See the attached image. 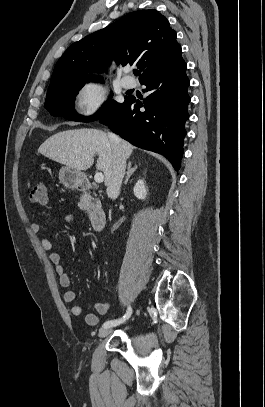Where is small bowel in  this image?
Here are the masks:
<instances>
[{
  "mask_svg": "<svg viewBox=\"0 0 265 407\" xmlns=\"http://www.w3.org/2000/svg\"><path fill=\"white\" fill-rule=\"evenodd\" d=\"M66 221L68 223H74L75 220L72 216H67ZM31 229L35 234H38L42 227L41 224L38 222H34L31 225ZM41 247L44 251L49 253V259L54 264L56 273L59 277L60 285L66 289L63 294L64 302L72 304L70 308V312L73 316H80L83 312L81 305L76 304L77 292L74 289H71V277L67 272L64 264L62 263L61 256L59 253L53 251L52 242L48 237H43L40 240ZM110 309V304L106 301H101L96 304V311L97 313H89L85 317V321L90 326H96L99 323V315L106 314Z\"/></svg>",
  "mask_w": 265,
  "mask_h": 407,
  "instance_id": "1",
  "label": "small bowel"
}]
</instances>
